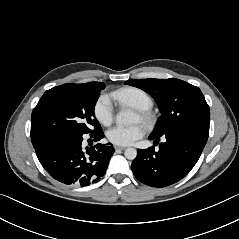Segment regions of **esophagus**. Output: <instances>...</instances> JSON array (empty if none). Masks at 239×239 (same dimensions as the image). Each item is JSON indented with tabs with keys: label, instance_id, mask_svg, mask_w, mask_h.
Listing matches in <instances>:
<instances>
[{
	"label": "esophagus",
	"instance_id": "1",
	"mask_svg": "<svg viewBox=\"0 0 239 239\" xmlns=\"http://www.w3.org/2000/svg\"><path fill=\"white\" fill-rule=\"evenodd\" d=\"M125 147H121V146H115V150H125Z\"/></svg>",
	"mask_w": 239,
	"mask_h": 239
}]
</instances>
